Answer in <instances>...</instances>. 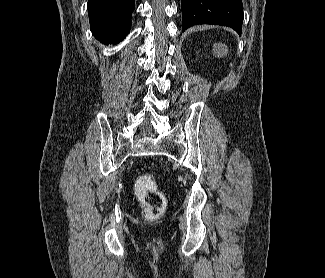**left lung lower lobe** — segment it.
Instances as JSON below:
<instances>
[{
    "label": "left lung lower lobe",
    "mask_w": 325,
    "mask_h": 278,
    "mask_svg": "<svg viewBox=\"0 0 325 278\" xmlns=\"http://www.w3.org/2000/svg\"><path fill=\"white\" fill-rule=\"evenodd\" d=\"M183 31L198 24L228 26L242 31L241 0H181Z\"/></svg>",
    "instance_id": "0a47b994"
}]
</instances>
